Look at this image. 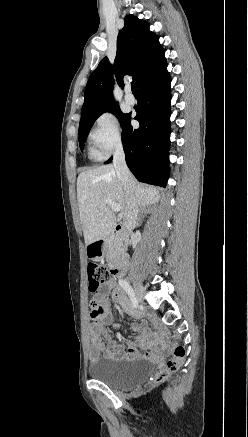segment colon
I'll use <instances>...</instances> for the list:
<instances>
[{"label":"colon","mask_w":248,"mask_h":437,"mask_svg":"<svg viewBox=\"0 0 248 437\" xmlns=\"http://www.w3.org/2000/svg\"><path fill=\"white\" fill-rule=\"evenodd\" d=\"M112 275V270L105 265L97 264L95 262H90L88 264V284L89 290L91 292H96L99 289V285L106 283ZM91 305L95 308L102 307L96 301H92ZM185 350L177 342L173 343L172 354L167 361L166 367L160 370L152 380L153 385H158L164 382L170 374L177 371L181 365L182 359L184 357Z\"/></svg>","instance_id":"colon-1"}]
</instances>
